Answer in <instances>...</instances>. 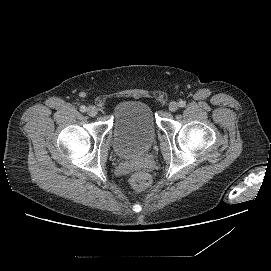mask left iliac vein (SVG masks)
Segmentation results:
<instances>
[{"label":"left iliac vein","instance_id":"1","mask_svg":"<svg viewBox=\"0 0 271 271\" xmlns=\"http://www.w3.org/2000/svg\"><path fill=\"white\" fill-rule=\"evenodd\" d=\"M178 108H179L178 103H176V102H174V101L171 102V103L169 104V110H170L171 112L177 111Z\"/></svg>","mask_w":271,"mask_h":271}]
</instances>
